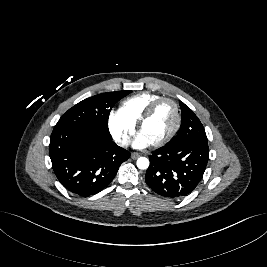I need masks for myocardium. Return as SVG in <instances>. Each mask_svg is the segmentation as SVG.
<instances>
[{"mask_svg":"<svg viewBox=\"0 0 267 267\" xmlns=\"http://www.w3.org/2000/svg\"><path fill=\"white\" fill-rule=\"evenodd\" d=\"M163 103H170L173 106L174 112H175V123L173 125V128L171 129V131L168 133L167 136H165L163 139L159 140L158 142H155V143L152 144L155 147H160V146H163V145L167 144L177 134V132H178V130L180 128V125H181V113H180V108H179L178 103L175 100L171 99V98L161 97V98L155 100L147 108V110L144 112V114L141 116V118L137 122V130H138V132H140L142 126L154 115L156 110Z\"/></svg>","mask_w":267,"mask_h":267,"instance_id":"1","label":"myocardium"}]
</instances>
